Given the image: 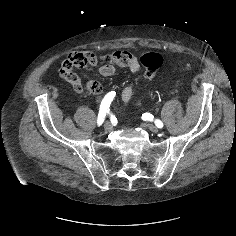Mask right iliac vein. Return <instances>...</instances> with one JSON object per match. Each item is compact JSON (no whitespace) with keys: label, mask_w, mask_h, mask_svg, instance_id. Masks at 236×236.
<instances>
[{"label":"right iliac vein","mask_w":236,"mask_h":236,"mask_svg":"<svg viewBox=\"0 0 236 236\" xmlns=\"http://www.w3.org/2000/svg\"><path fill=\"white\" fill-rule=\"evenodd\" d=\"M104 130H105L106 132L112 131V130H113V125H112L109 121L105 122V124H104Z\"/></svg>","instance_id":"1"}]
</instances>
